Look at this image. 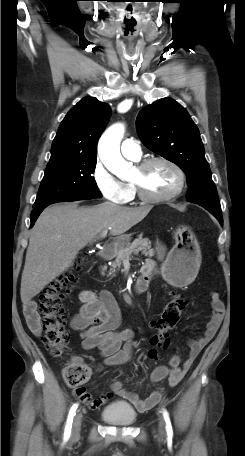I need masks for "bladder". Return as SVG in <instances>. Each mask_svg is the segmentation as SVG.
I'll list each match as a JSON object with an SVG mask.
<instances>
[{
    "mask_svg": "<svg viewBox=\"0 0 245 456\" xmlns=\"http://www.w3.org/2000/svg\"><path fill=\"white\" fill-rule=\"evenodd\" d=\"M101 416L110 424L127 426L136 421L137 413L128 403L118 401L107 405L102 410Z\"/></svg>",
    "mask_w": 245,
    "mask_h": 456,
    "instance_id": "bladder-1",
    "label": "bladder"
}]
</instances>
